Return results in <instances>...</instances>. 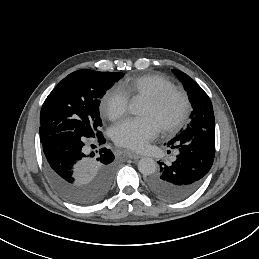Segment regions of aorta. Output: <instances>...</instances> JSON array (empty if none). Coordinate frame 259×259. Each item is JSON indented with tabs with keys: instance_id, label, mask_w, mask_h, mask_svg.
Segmentation results:
<instances>
[{
	"instance_id": "aorta-1",
	"label": "aorta",
	"mask_w": 259,
	"mask_h": 259,
	"mask_svg": "<svg viewBox=\"0 0 259 259\" xmlns=\"http://www.w3.org/2000/svg\"><path fill=\"white\" fill-rule=\"evenodd\" d=\"M129 112L133 115H138L141 112V106L137 101H133L129 105ZM157 169L156 162L149 157H144L138 162V170L143 175H152Z\"/></svg>"
}]
</instances>
